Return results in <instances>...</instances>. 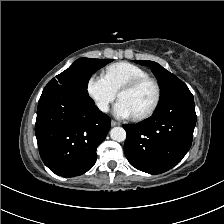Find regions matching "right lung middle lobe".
<instances>
[{
	"mask_svg": "<svg viewBox=\"0 0 224 224\" xmlns=\"http://www.w3.org/2000/svg\"><path fill=\"white\" fill-rule=\"evenodd\" d=\"M112 59L80 58L68 69L53 78L46 86L63 87L88 96L87 86L91 76Z\"/></svg>",
	"mask_w": 224,
	"mask_h": 224,
	"instance_id": "right-lung-middle-lobe-1",
	"label": "right lung middle lobe"
}]
</instances>
